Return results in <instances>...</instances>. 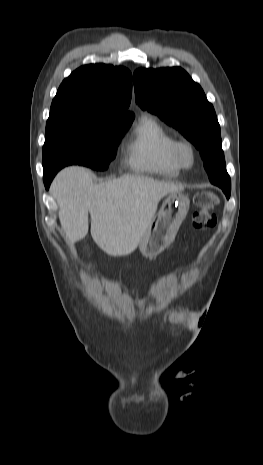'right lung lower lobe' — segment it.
<instances>
[{
  "mask_svg": "<svg viewBox=\"0 0 263 465\" xmlns=\"http://www.w3.org/2000/svg\"><path fill=\"white\" fill-rule=\"evenodd\" d=\"M55 174H56V173H54V172H46V171H44V177H43V179H44L45 187H46L47 189H48V187H49V185H50V183H51V181H52V179H53V177H54Z\"/></svg>",
  "mask_w": 263,
  "mask_h": 465,
  "instance_id": "1",
  "label": "right lung lower lobe"
}]
</instances>
